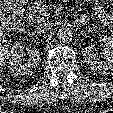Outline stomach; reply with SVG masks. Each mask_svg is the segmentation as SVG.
Here are the masks:
<instances>
[{"label":"stomach","mask_w":113,"mask_h":113,"mask_svg":"<svg viewBox=\"0 0 113 113\" xmlns=\"http://www.w3.org/2000/svg\"><path fill=\"white\" fill-rule=\"evenodd\" d=\"M22 2H29V1H31V0H21Z\"/></svg>","instance_id":"1"}]
</instances>
